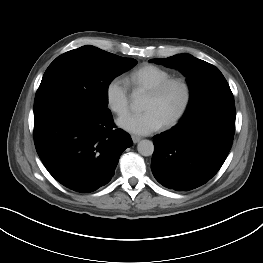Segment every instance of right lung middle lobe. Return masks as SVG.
<instances>
[{"instance_id": "1", "label": "right lung middle lobe", "mask_w": 263, "mask_h": 263, "mask_svg": "<svg viewBox=\"0 0 263 263\" xmlns=\"http://www.w3.org/2000/svg\"><path fill=\"white\" fill-rule=\"evenodd\" d=\"M137 61L94 46H83L57 57L47 68L37 90L34 112L72 104L98 114L109 113L108 87Z\"/></svg>"}]
</instances>
